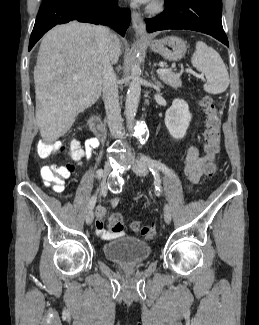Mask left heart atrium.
<instances>
[{
  "mask_svg": "<svg viewBox=\"0 0 259 325\" xmlns=\"http://www.w3.org/2000/svg\"><path fill=\"white\" fill-rule=\"evenodd\" d=\"M139 2H147L148 0H137Z\"/></svg>",
  "mask_w": 259,
  "mask_h": 325,
  "instance_id": "1",
  "label": "left heart atrium"
}]
</instances>
